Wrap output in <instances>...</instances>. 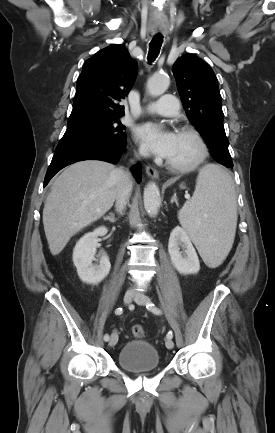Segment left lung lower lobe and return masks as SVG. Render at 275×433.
Returning <instances> with one entry per match:
<instances>
[{"label":"left lung lower lobe","mask_w":275,"mask_h":433,"mask_svg":"<svg viewBox=\"0 0 275 433\" xmlns=\"http://www.w3.org/2000/svg\"><path fill=\"white\" fill-rule=\"evenodd\" d=\"M233 167V165H231L229 168H232Z\"/></svg>","instance_id":"1"}]
</instances>
